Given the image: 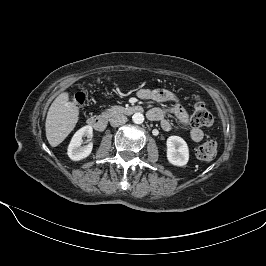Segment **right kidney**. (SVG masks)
Here are the masks:
<instances>
[{
	"mask_svg": "<svg viewBox=\"0 0 266 266\" xmlns=\"http://www.w3.org/2000/svg\"><path fill=\"white\" fill-rule=\"evenodd\" d=\"M92 136L93 129L89 125L82 127L74 134L67 151V154L71 160L80 161L82 159L87 158L91 154L93 148L92 142L85 146L81 145L84 137L92 138Z\"/></svg>",
	"mask_w": 266,
	"mask_h": 266,
	"instance_id": "ca27d5eb",
	"label": "right kidney"
}]
</instances>
